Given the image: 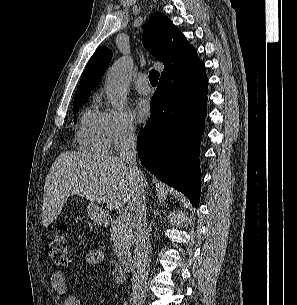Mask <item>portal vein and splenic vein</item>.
<instances>
[{
    "label": "portal vein and splenic vein",
    "instance_id": "obj_1",
    "mask_svg": "<svg viewBox=\"0 0 297 305\" xmlns=\"http://www.w3.org/2000/svg\"><path fill=\"white\" fill-rule=\"evenodd\" d=\"M120 218H121V219L129 218V213L123 212V213L120 215Z\"/></svg>",
    "mask_w": 297,
    "mask_h": 305
}]
</instances>
